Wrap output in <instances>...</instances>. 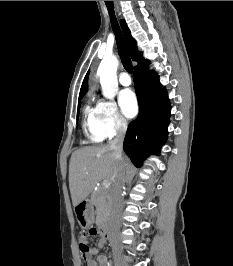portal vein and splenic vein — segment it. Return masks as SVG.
I'll list each match as a JSON object with an SVG mask.
<instances>
[{
  "label": "portal vein and splenic vein",
  "instance_id": "obj_1",
  "mask_svg": "<svg viewBox=\"0 0 233 266\" xmlns=\"http://www.w3.org/2000/svg\"><path fill=\"white\" fill-rule=\"evenodd\" d=\"M110 186V181L109 180H104L103 182V187L108 188Z\"/></svg>",
  "mask_w": 233,
  "mask_h": 266
}]
</instances>
